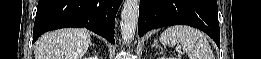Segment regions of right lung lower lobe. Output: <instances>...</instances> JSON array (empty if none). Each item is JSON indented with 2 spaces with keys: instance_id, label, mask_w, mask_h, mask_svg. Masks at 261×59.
I'll list each match as a JSON object with an SVG mask.
<instances>
[{
  "instance_id": "1",
  "label": "right lung lower lobe",
  "mask_w": 261,
  "mask_h": 59,
  "mask_svg": "<svg viewBox=\"0 0 261 59\" xmlns=\"http://www.w3.org/2000/svg\"><path fill=\"white\" fill-rule=\"evenodd\" d=\"M122 0H39L33 42L43 33L86 27L114 44L115 16Z\"/></svg>"
}]
</instances>
